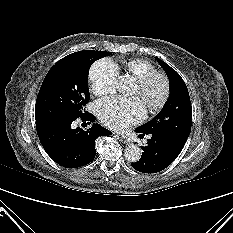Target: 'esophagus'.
Wrapping results in <instances>:
<instances>
[{"mask_svg": "<svg viewBox=\"0 0 233 233\" xmlns=\"http://www.w3.org/2000/svg\"><path fill=\"white\" fill-rule=\"evenodd\" d=\"M119 140L123 143V144H129L130 143V140L123 137V136H119Z\"/></svg>", "mask_w": 233, "mask_h": 233, "instance_id": "esophagus-1", "label": "esophagus"}]
</instances>
